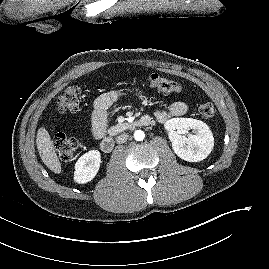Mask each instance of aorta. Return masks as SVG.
<instances>
[{
    "instance_id": "762f6f07",
    "label": "aorta",
    "mask_w": 269,
    "mask_h": 269,
    "mask_svg": "<svg viewBox=\"0 0 269 269\" xmlns=\"http://www.w3.org/2000/svg\"><path fill=\"white\" fill-rule=\"evenodd\" d=\"M145 138V133L141 130H136L134 132V139L137 141H142Z\"/></svg>"
}]
</instances>
